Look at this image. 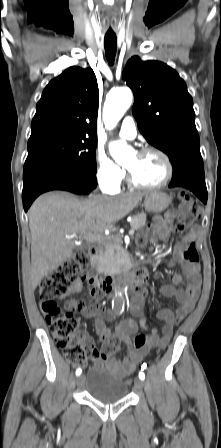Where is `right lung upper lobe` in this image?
I'll return each mask as SVG.
<instances>
[{
    "label": "right lung upper lobe",
    "instance_id": "obj_1",
    "mask_svg": "<svg viewBox=\"0 0 221 448\" xmlns=\"http://www.w3.org/2000/svg\"><path fill=\"white\" fill-rule=\"evenodd\" d=\"M98 104L93 70L70 67L45 87L32 120L28 148L87 135L97 138Z\"/></svg>",
    "mask_w": 221,
    "mask_h": 448
}]
</instances>
